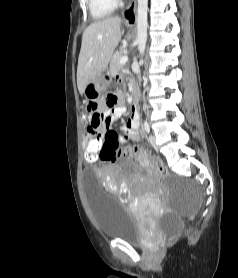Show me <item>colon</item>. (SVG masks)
<instances>
[{"label":"colon","mask_w":238,"mask_h":278,"mask_svg":"<svg viewBox=\"0 0 238 278\" xmlns=\"http://www.w3.org/2000/svg\"><path fill=\"white\" fill-rule=\"evenodd\" d=\"M106 100H117L115 95H108ZM96 106L91 104L87 108L86 117L90 121L93 112L95 111ZM86 136H90L91 132L86 131ZM82 141L83 149H84V156L87 162H97L98 159H104L107 161L114 162L121 156H131L133 154H144L142 152H137L136 149L127 148L122 150L116 142H109L105 145V141H103V137H83ZM104 146V147H103ZM149 162L152 164L153 168L157 172L158 175L164 177L167 175V169L164 162L161 159L155 158L150 160ZM177 234H174L171 239H175Z\"/></svg>","instance_id":"1"}]
</instances>
